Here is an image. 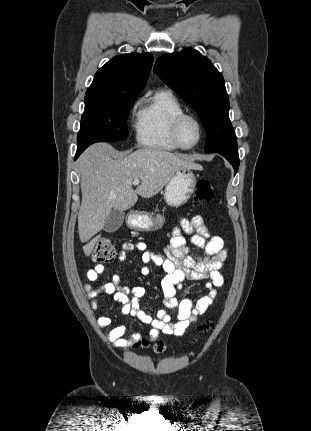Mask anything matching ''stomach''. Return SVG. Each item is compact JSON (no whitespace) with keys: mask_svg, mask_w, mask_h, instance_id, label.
I'll return each mask as SVG.
<instances>
[{"mask_svg":"<svg viewBox=\"0 0 311 431\" xmlns=\"http://www.w3.org/2000/svg\"><path fill=\"white\" fill-rule=\"evenodd\" d=\"M196 176L189 168L176 172L169 184H166L163 198L170 208H180L187 204L196 188ZM165 221L164 216H151L149 212H130L126 217V225L136 231H153L160 229Z\"/></svg>","mask_w":311,"mask_h":431,"instance_id":"stomach-1","label":"stomach"}]
</instances>
